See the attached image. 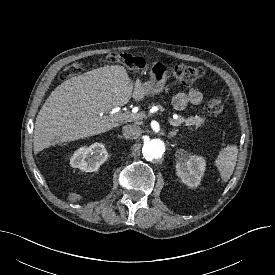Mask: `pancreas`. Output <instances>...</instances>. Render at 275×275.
<instances>
[{
    "mask_svg": "<svg viewBox=\"0 0 275 275\" xmlns=\"http://www.w3.org/2000/svg\"><path fill=\"white\" fill-rule=\"evenodd\" d=\"M171 121H173L177 125H179L181 123H185V125H187V126L193 125L196 128H198V127H201L204 124L205 119L202 118V117H199V116H195V117L191 116L187 119H185L182 116H179L176 120L171 119Z\"/></svg>",
    "mask_w": 275,
    "mask_h": 275,
    "instance_id": "pancreas-1",
    "label": "pancreas"
}]
</instances>
